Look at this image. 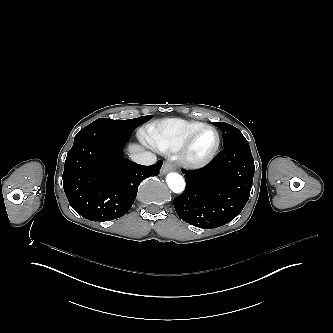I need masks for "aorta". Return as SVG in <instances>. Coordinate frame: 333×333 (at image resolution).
Instances as JSON below:
<instances>
[{
	"mask_svg": "<svg viewBox=\"0 0 333 333\" xmlns=\"http://www.w3.org/2000/svg\"><path fill=\"white\" fill-rule=\"evenodd\" d=\"M169 189L175 194H181L184 192L186 183L184 178L177 173H170L166 179Z\"/></svg>",
	"mask_w": 333,
	"mask_h": 333,
	"instance_id": "762f6f07",
	"label": "aorta"
}]
</instances>
